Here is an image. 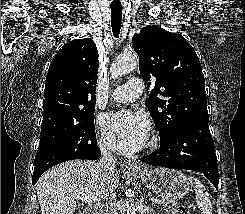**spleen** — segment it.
<instances>
[{
	"instance_id": "3e777b00",
	"label": "spleen",
	"mask_w": 245,
	"mask_h": 214,
	"mask_svg": "<svg viewBox=\"0 0 245 214\" xmlns=\"http://www.w3.org/2000/svg\"><path fill=\"white\" fill-rule=\"evenodd\" d=\"M188 179L195 190V199L200 213L212 214V204L204 185L194 177L190 176Z\"/></svg>"
}]
</instances>
